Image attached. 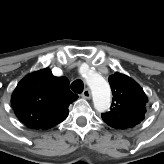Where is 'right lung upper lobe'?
Masks as SVG:
<instances>
[{
    "label": "right lung upper lobe",
    "instance_id": "obj_1",
    "mask_svg": "<svg viewBox=\"0 0 164 164\" xmlns=\"http://www.w3.org/2000/svg\"><path fill=\"white\" fill-rule=\"evenodd\" d=\"M66 78L54 77L47 68L21 80L11 102L17 117L29 127L46 129L64 120L77 99Z\"/></svg>",
    "mask_w": 164,
    "mask_h": 164
}]
</instances>
